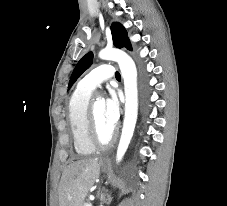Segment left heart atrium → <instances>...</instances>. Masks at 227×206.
<instances>
[{
    "label": "left heart atrium",
    "mask_w": 227,
    "mask_h": 206,
    "mask_svg": "<svg viewBox=\"0 0 227 206\" xmlns=\"http://www.w3.org/2000/svg\"><path fill=\"white\" fill-rule=\"evenodd\" d=\"M104 114L108 125L114 129L120 117V104L116 94L110 93L104 102Z\"/></svg>",
    "instance_id": "obj_1"
}]
</instances>
